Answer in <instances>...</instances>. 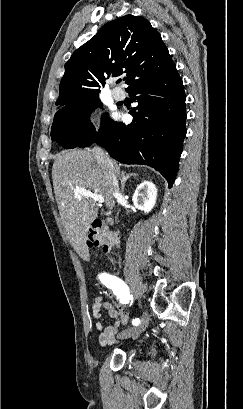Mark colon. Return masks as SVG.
<instances>
[{
  "label": "colon",
  "mask_w": 243,
  "mask_h": 409,
  "mask_svg": "<svg viewBox=\"0 0 243 409\" xmlns=\"http://www.w3.org/2000/svg\"><path fill=\"white\" fill-rule=\"evenodd\" d=\"M119 242L115 234L107 233L100 222H94L87 234V245L89 247H102L106 253H110L112 248Z\"/></svg>",
  "instance_id": "5ec220e1"
}]
</instances>
